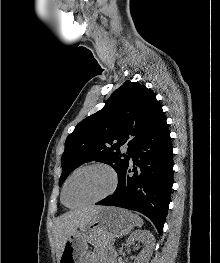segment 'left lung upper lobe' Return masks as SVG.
Returning a JSON list of instances; mask_svg holds the SVG:
<instances>
[{"mask_svg":"<svg viewBox=\"0 0 220 263\" xmlns=\"http://www.w3.org/2000/svg\"><path fill=\"white\" fill-rule=\"evenodd\" d=\"M163 118L155 94L139 82L126 81L101 110L81 121L67 137L59 185L75 168L93 160L112 166L119 178L129 160L120 147L128 143L130 154Z\"/></svg>","mask_w":220,"mask_h":263,"instance_id":"left-lung-upper-lobe-1","label":"left lung upper lobe"}]
</instances>
